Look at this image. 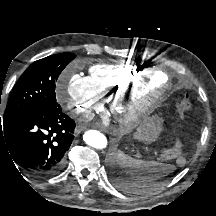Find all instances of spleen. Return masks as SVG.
Listing matches in <instances>:
<instances>
[{
	"label": "spleen",
	"instance_id": "obj_1",
	"mask_svg": "<svg viewBox=\"0 0 216 216\" xmlns=\"http://www.w3.org/2000/svg\"><path fill=\"white\" fill-rule=\"evenodd\" d=\"M117 160L119 165L138 185L161 178L173 170L170 165L157 161L134 159L121 151L117 153Z\"/></svg>",
	"mask_w": 216,
	"mask_h": 216
}]
</instances>
